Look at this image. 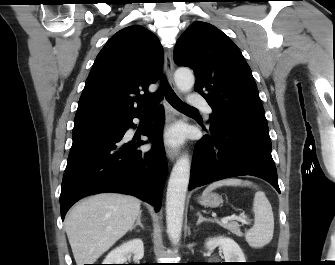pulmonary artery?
<instances>
[{"mask_svg":"<svg viewBox=\"0 0 335 265\" xmlns=\"http://www.w3.org/2000/svg\"><path fill=\"white\" fill-rule=\"evenodd\" d=\"M188 104L193 108L202 109L206 114L212 113V109L205 101V99L196 93L190 95L188 99Z\"/></svg>","mask_w":335,"mask_h":265,"instance_id":"pulmonary-artery-1","label":"pulmonary artery"}]
</instances>
